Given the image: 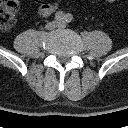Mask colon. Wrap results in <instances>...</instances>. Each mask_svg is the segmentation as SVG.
Returning a JSON list of instances; mask_svg holds the SVG:
<instances>
[{
    "instance_id": "obj_1",
    "label": "colon",
    "mask_w": 128,
    "mask_h": 128,
    "mask_svg": "<svg viewBox=\"0 0 128 128\" xmlns=\"http://www.w3.org/2000/svg\"><path fill=\"white\" fill-rule=\"evenodd\" d=\"M105 1L114 2L116 0ZM18 8L19 0H0V30H8L13 26Z\"/></svg>"
}]
</instances>
